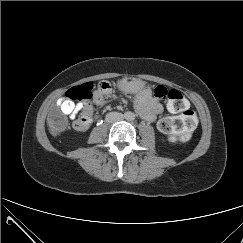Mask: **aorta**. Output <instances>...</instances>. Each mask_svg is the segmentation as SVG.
<instances>
[{
    "label": "aorta",
    "mask_w": 243,
    "mask_h": 243,
    "mask_svg": "<svg viewBox=\"0 0 243 243\" xmlns=\"http://www.w3.org/2000/svg\"><path fill=\"white\" fill-rule=\"evenodd\" d=\"M129 119H132L133 118V115L131 114V115H129V117H128Z\"/></svg>",
    "instance_id": "aorta-1"
}]
</instances>
